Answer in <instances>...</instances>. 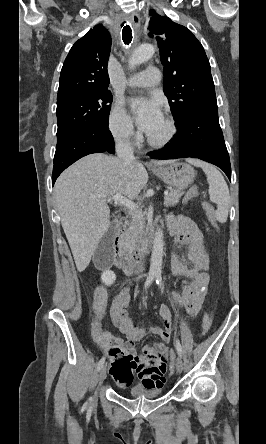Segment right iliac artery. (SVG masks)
<instances>
[{
  "mask_svg": "<svg viewBox=\"0 0 266 444\" xmlns=\"http://www.w3.org/2000/svg\"><path fill=\"white\" fill-rule=\"evenodd\" d=\"M154 278H155V274H153V273L148 274L145 285H144L145 289L150 286V284L153 282ZM104 363H105V357H102L98 363L97 370H100L103 367Z\"/></svg>",
  "mask_w": 266,
  "mask_h": 444,
  "instance_id": "obj_1",
  "label": "right iliac artery"
}]
</instances>
